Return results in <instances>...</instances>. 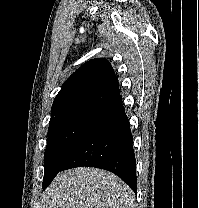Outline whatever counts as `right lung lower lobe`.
Instances as JSON below:
<instances>
[{
    "mask_svg": "<svg viewBox=\"0 0 199 208\" xmlns=\"http://www.w3.org/2000/svg\"><path fill=\"white\" fill-rule=\"evenodd\" d=\"M82 166L113 172L136 193L133 137L120 96L100 108L59 171ZM56 175L43 182V187Z\"/></svg>",
    "mask_w": 199,
    "mask_h": 208,
    "instance_id": "1",
    "label": "right lung lower lobe"
}]
</instances>
